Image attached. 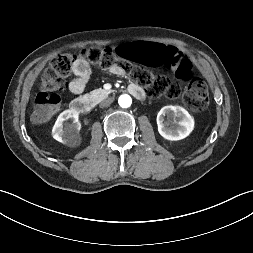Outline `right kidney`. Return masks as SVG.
Segmentation results:
<instances>
[{
  "instance_id": "1",
  "label": "right kidney",
  "mask_w": 253,
  "mask_h": 253,
  "mask_svg": "<svg viewBox=\"0 0 253 253\" xmlns=\"http://www.w3.org/2000/svg\"><path fill=\"white\" fill-rule=\"evenodd\" d=\"M78 112L76 110H65L57 118L53 129V138L61 143L68 144L70 146H75L79 144V131L81 129V124L78 121ZM69 120L73 122L68 123Z\"/></svg>"
}]
</instances>
